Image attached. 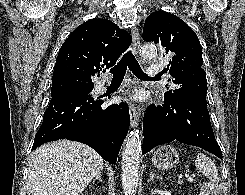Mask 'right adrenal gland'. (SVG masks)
<instances>
[{
	"instance_id": "1",
	"label": "right adrenal gland",
	"mask_w": 245,
	"mask_h": 195,
	"mask_svg": "<svg viewBox=\"0 0 245 195\" xmlns=\"http://www.w3.org/2000/svg\"><path fill=\"white\" fill-rule=\"evenodd\" d=\"M101 174H102V171H100L97 176L92 180V182L94 183L96 180H99V181H102L101 179Z\"/></svg>"
}]
</instances>
